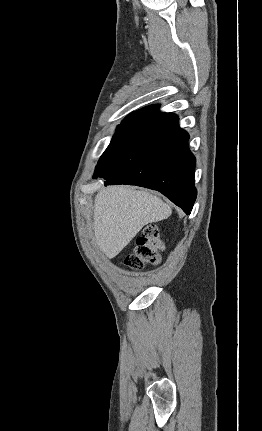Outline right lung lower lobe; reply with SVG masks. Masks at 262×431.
Wrapping results in <instances>:
<instances>
[{
    "label": "right lung lower lobe",
    "mask_w": 262,
    "mask_h": 431,
    "mask_svg": "<svg viewBox=\"0 0 262 431\" xmlns=\"http://www.w3.org/2000/svg\"><path fill=\"white\" fill-rule=\"evenodd\" d=\"M178 116L158 113L129 127L101 156L94 178L105 185L129 184L157 190L190 214L196 199V159Z\"/></svg>",
    "instance_id": "obj_1"
}]
</instances>
